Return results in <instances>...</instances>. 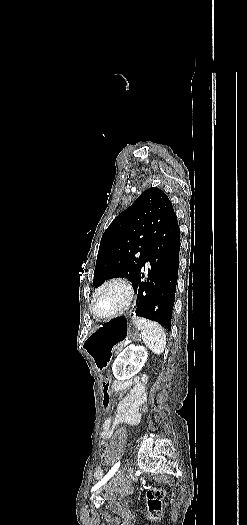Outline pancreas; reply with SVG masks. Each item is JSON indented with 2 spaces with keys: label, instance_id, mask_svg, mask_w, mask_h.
I'll return each instance as SVG.
<instances>
[{
  "label": "pancreas",
  "instance_id": "obj_1",
  "mask_svg": "<svg viewBox=\"0 0 247 525\" xmlns=\"http://www.w3.org/2000/svg\"><path fill=\"white\" fill-rule=\"evenodd\" d=\"M112 351H113V355H117V353L121 351V348L119 346H114L112 348Z\"/></svg>",
  "mask_w": 247,
  "mask_h": 525
}]
</instances>
